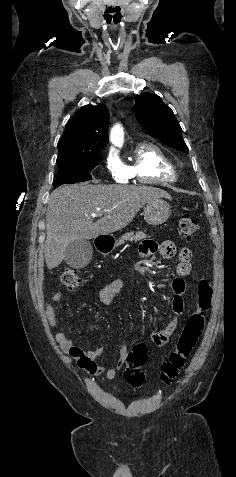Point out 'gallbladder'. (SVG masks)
Instances as JSON below:
<instances>
[{"instance_id":"bac80fb5","label":"gallbladder","mask_w":236,"mask_h":477,"mask_svg":"<svg viewBox=\"0 0 236 477\" xmlns=\"http://www.w3.org/2000/svg\"><path fill=\"white\" fill-rule=\"evenodd\" d=\"M92 253L93 248L89 240H75L66 247L64 261L72 268L81 269L90 262Z\"/></svg>"}]
</instances>
